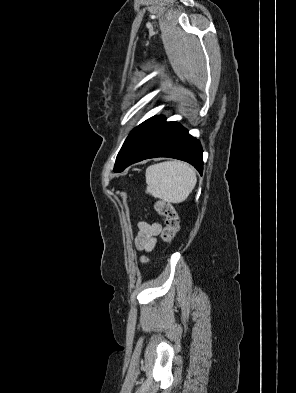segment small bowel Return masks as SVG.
<instances>
[{
  "instance_id": "c3829d8e",
  "label": "small bowel",
  "mask_w": 296,
  "mask_h": 393,
  "mask_svg": "<svg viewBox=\"0 0 296 393\" xmlns=\"http://www.w3.org/2000/svg\"><path fill=\"white\" fill-rule=\"evenodd\" d=\"M138 233L135 238V245L141 251L149 252L156 245L157 237L162 232V224L159 222L148 223L139 221L137 223ZM145 261V259H143Z\"/></svg>"
}]
</instances>
